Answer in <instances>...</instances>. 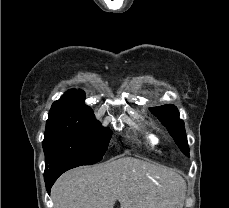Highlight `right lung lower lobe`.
Returning a JSON list of instances; mask_svg holds the SVG:
<instances>
[{
	"label": "right lung lower lobe",
	"instance_id": "1",
	"mask_svg": "<svg viewBox=\"0 0 229 208\" xmlns=\"http://www.w3.org/2000/svg\"><path fill=\"white\" fill-rule=\"evenodd\" d=\"M79 165L77 164H68V165H62L57 167L54 170L51 171H47L44 173V179H45V185H46V189L47 192L50 194V189L53 186L54 182L56 181V179L65 171L78 167Z\"/></svg>",
	"mask_w": 229,
	"mask_h": 208
}]
</instances>
